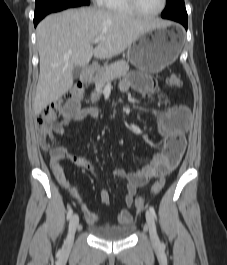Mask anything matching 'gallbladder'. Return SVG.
Here are the masks:
<instances>
[{
	"label": "gallbladder",
	"instance_id": "gallbladder-1",
	"mask_svg": "<svg viewBox=\"0 0 227 265\" xmlns=\"http://www.w3.org/2000/svg\"><path fill=\"white\" fill-rule=\"evenodd\" d=\"M82 73V67L80 66H75L73 69V78L76 79L78 78Z\"/></svg>",
	"mask_w": 227,
	"mask_h": 265
}]
</instances>
